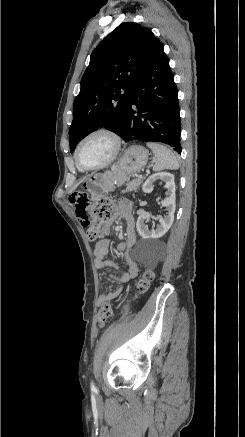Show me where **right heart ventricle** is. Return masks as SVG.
Wrapping results in <instances>:
<instances>
[{"mask_svg":"<svg viewBox=\"0 0 245 437\" xmlns=\"http://www.w3.org/2000/svg\"><path fill=\"white\" fill-rule=\"evenodd\" d=\"M78 167V166H77ZM78 169L80 170V171H84L83 169H81L80 167H78Z\"/></svg>","mask_w":245,"mask_h":437,"instance_id":"right-heart-ventricle-1","label":"right heart ventricle"}]
</instances>
